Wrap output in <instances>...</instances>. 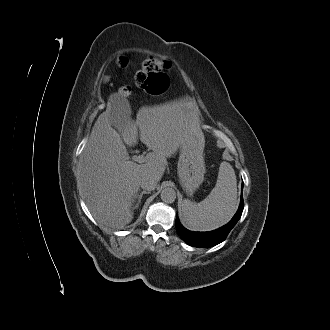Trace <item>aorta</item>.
<instances>
[{"label": "aorta", "mask_w": 330, "mask_h": 330, "mask_svg": "<svg viewBox=\"0 0 330 330\" xmlns=\"http://www.w3.org/2000/svg\"><path fill=\"white\" fill-rule=\"evenodd\" d=\"M161 200L165 203H173L176 199V191L171 187H166L161 191Z\"/></svg>", "instance_id": "aorta-1"}]
</instances>
